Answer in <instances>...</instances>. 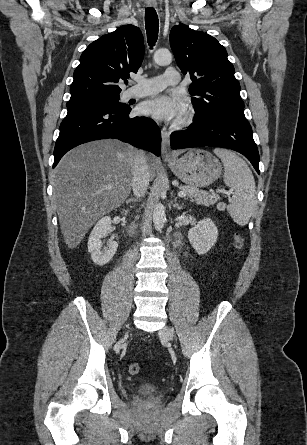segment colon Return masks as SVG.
<instances>
[{
	"label": "colon",
	"mask_w": 307,
	"mask_h": 445,
	"mask_svg": "<svg viewBox=\"0 0 307 445\" xmlns=\"http://www.w3.org/2000/svg\"><path fill=\"white\" fill-rule=\"evenodd\" d=\"M233 244H234V247H235V249L237 251H241L243 249L244 240H243V238L241 237L240 234L236 233L234 235V242H233ZM140 370H141V366L138 363H131L128 366V372L131 375H137L140 372Z\"/></svg>",
	"instance_id": "1"
}]
</instances>
